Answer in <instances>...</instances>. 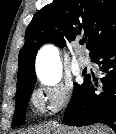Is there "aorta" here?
<instances>
[{
  "label": "aorta",
  "mask_w": 116,
  "mask_h": 134,
  "mask_svg": "<svg viewBox=\"0 0 116 134\" xmlns=\"http://www.w3.org/2000/svg\"><path fill=\"white\" fill-rule=\"evenodd\" d=\"M36 71L42 83L48 86L58 84L62 77V65L58 50L52 45L43 46L36 59Z\"/></svg>",
  "instance_id": "1"
}]
</instances>
